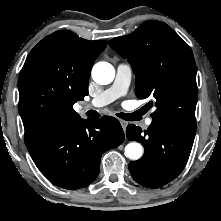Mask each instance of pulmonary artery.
<instances>
[{"instance_id":"pulmonary-artery-1","label":"pulmonary artery","mask_w":221,"mask_h":221,"mask_svg":"<svg viewBox=\"0 0 221 221\" xmlns=\"http://www.w3.org/2000/svg\"><path fill=\"white\" fill-rule=\"evenodd\" d=\"M132 68L128 63H121L116 70L115 80L112 85L91 100L88 107L99 108L124 96L130 85ZM147 126L152 124V118L145 120Z\"/></svg>"}]
</instances>
